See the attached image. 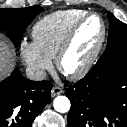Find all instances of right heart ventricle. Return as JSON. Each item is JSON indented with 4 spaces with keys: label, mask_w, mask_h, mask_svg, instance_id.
I'll list each match as a JSON object with an SVG mask.
<instances>
[{
    "label": "right heart ventricle",
    "mask_w": 127,
    "mask_h": 127,
    "mask_svg": "<svg viewBox=\"0 0 127 127\" xmlns=\"http://www.w3.org/2000/svg\"><path fill=\"white\" fill-rule=\"evenodd\" d=\"M86 13L84 10L68 9L41 18L32 28L34 43L44 55L55 58L69 29Z\"/></svg>",
    "instance_id": "obj_1"
}]
</instances>
